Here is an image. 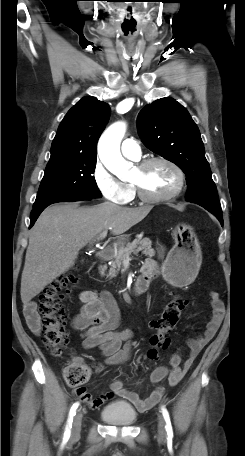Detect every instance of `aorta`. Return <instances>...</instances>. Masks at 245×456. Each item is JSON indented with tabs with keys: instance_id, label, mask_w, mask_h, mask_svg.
Instances as JSON below:
<instances>
[{
	"instance_id": "aorta-1",
	"label": "aorta",
	"mask_w": 245,
	"mask_h": 456,
	"mask_svg": "<svg viewBox=\"0 0 245 456\" xmlns=\"http://www.w3.org/2000/svg\"><path fill=\"white\" fill-rule=\"evenodd\" d=\"M126 131L124 122H116L109 126L98 142V154L104 166L119 178H124L131 163L126 161L120 152V143Z\"/></svg>"
}]
</instances>
